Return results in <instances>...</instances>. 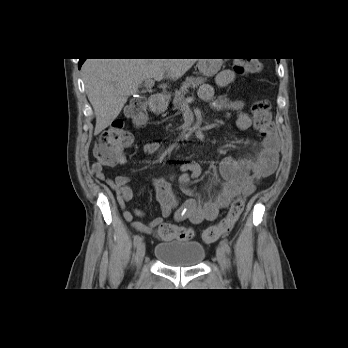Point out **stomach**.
Instances as JSON below:
<instances>
[{
    "mask_svg": "<svg viewBox=\"0 0 348 348\" xmlns=\"http://www.w3.org/2000/svg\"><path fill=\"white\" fill-rule=\"evenodd\" d=\"M221 65V59H199L197 64L199 72L206 77L214 76L220 70Z\"/></svg>",
    "mask_w": 348,
    "mask_h": 348,
    "instance_id": "1",
    "label": "stomach"
}]
</instances>
